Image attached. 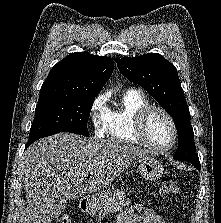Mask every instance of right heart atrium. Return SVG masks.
<instances>
[{"label":"right heart atrium","instance_id":"d8ad5b80","mask_svg":"<svg viewBox=\"0 0 221 223\" xmlns=\"http://www.w3.org/2000/svg\"><path fill=\"white\" fill-rule=\"evenodd\" d=\"M109 110L106 106V96L98 95L90 105L89 119L96 137H103L107 132Z\"/></svg>","mask_w":221,"mask_h":223}]
</instances>
